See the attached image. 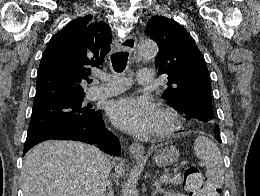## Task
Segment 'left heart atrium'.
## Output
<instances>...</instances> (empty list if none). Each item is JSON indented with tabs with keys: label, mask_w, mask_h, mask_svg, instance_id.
I'll return each instance as SVG.
<instances>
[{
	"label": "left heart atrium",
	"mask_w": 260,
	"mask_h": 196,
	"mask_svg": "<svg viewBox=\"0 0 260 196\" xmlns=\"http://www.w3.org/2000/svg\"><path fill=\"white\" fill-rule=\"evenodd\" d=\"M110 118L117 127L134 135H143L155 124L156 108L148 98L123 96L112 103Z\"/></svg>",
	"instance_id": "left-heart-atrium-1"
}]
</instances>
